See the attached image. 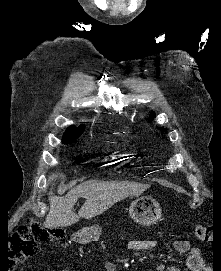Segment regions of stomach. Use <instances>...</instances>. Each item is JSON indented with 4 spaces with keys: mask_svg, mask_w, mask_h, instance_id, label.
I'll use <instances>...</instances> for the list:
<instances>
[{
    "mask_svg": "<svg viewBox=\"0 0 221 271\" xmlns=\"http://www.w3.org/2000/svg\"><path fill=\"white\" fill-rule=\"evenodd\" d=\"M129 211L136 223L152 225L160 217V202H155L153 197H137L132 201ZM101 231L99 225H91L87 227V230H78L77 233H73V238H89L91 241H97Z\"/></svg>",
    "mask_w": 221,
    "mask_h": 271,
    "instance_id": "1",
    "label": "stomach"
}]
</instances>
